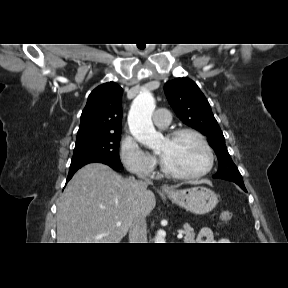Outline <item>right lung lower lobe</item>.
<instances>
[{
    "instance_id": "1",
    "label": "right lung lower lobe",
    "mask_w": 288,
    "mask_h": 288,
    "mask_svg": "<svg viewBox=\"0 0 288 288\" xmlns=\"http://www.w3.org/2000/svg\"><path fill=\"white\" fill-rule=\"evenodd\" d=\"M93 162H100V163H104V164H107L109 165L110 167H112L113 169H122V168H119L115 165H112L104 160H100V159H92V160H87V161H84V162H80V163H77V164H71L70 165V168H69V174H68V177H67V182L72 178L73 174L79 169L81 168L82 166L88 164V163H93Z\"/></svg>"
}]
</instances>
